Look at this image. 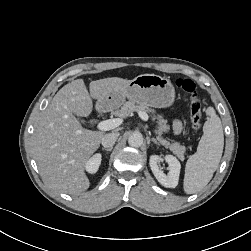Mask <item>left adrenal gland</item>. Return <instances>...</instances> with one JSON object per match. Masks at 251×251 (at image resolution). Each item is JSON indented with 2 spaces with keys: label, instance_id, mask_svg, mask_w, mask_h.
<instances>
[{
  "label": "left adrenal gland",
  "instance_id": "a2214340",
  "mask_svg": "<svg viewBox=\"0 0 251 251\" xmlns=\"http://www.w3.org/2000/svg\"><path fill=\"white\" fill-rule=\"evenodd\" d=\"M152 141L153 143H155L156 145H160L157 140L155 138H148V142Z\"/></svg>",
  "mask_w": 251,
  "mask_h": 251
}]
</instances>
